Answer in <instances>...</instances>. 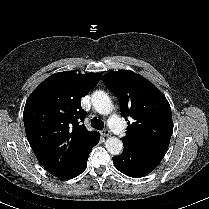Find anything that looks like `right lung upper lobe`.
<instances>
[{
  "instance_id": "right-lung-upper-lobe-1",
  "label": "right lung upper lobe",
  "mask_w": 209,
  "mask_h": 209,
  "mask_svg": "<svg viewBox=\"0 0 209 209\" xmlns=\"http://www.w3.org/2000/svg\"><path fill=\"white\" fill-rule=\"evenodd\" d=\"M99 73L58 72L44 80L26 101L23 120L29 144L42 166L57 176L96 136L83 124L80 100L101 79Z\"/></svg>"
}]
</instances>
